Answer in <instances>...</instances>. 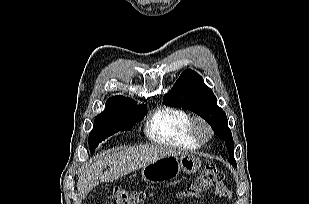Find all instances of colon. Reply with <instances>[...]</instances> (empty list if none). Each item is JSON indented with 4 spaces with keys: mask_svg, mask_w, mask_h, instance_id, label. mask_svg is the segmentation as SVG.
Segmentation results:
<instances>
[{
    "mask_svg": "<svg viewBox=\"0 0 309 204\" xmlns=\"http://www.w3.org/2000/svg\"><path fill=\"white\" fill-rule=\"evenodd\" d=\"M223 179V170L215 163L208 164L201 174L185 188L184 195L191 198L199 197L211 187L221 183ZM108 199L110 204H142L145 193L138 190L114 187L111 189Z\"/></svg>",
    "mask_w": 309,
    "mask_h": 204,
    "instance_id": "obj_1",
    "label": "colon"
}]
</instances>
